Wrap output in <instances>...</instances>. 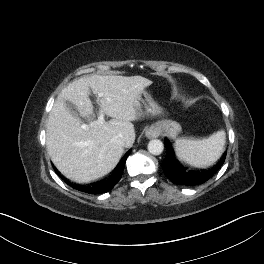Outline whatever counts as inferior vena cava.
I'll use <instances>...</instances> for the list:
<instances>
[{
    "instance_id": "1",
    "label": "inferior vena cava",
    "mask_w": 264,
    "mask_h": 264,
    "mask_svg": "<svg viewBox=\"0 0 264 264\" xmlns=\"http://www.w3.org/2000/svg\"><path fill=\"white\" fill-rule=\"evenodd\" d=\"M112 141H114V142H117V143H119V144H121V145H123V146H125L126 145V139L123 137V136H120V137H114L113 139H112Z\"/></svg>"
}]
</instances>
